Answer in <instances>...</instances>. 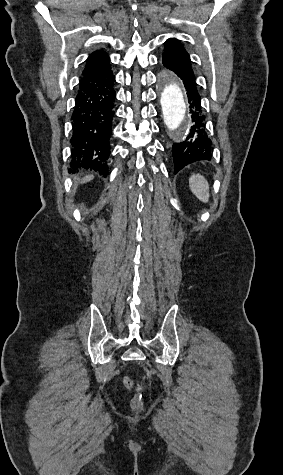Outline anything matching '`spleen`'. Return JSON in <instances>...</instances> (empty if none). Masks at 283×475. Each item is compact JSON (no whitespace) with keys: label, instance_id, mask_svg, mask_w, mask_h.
Returning a JSON list of instances; mask_svg holds the SVG:
<instances>
[{"label":"spleen","instance_id":"3e777b00","mask_svg":"<svg viewBox=\"0 0 283 475\" xmlns=\"http://www.w3.org/2000/svg\"><path fill=\"white\" fill-rule=\"evenodd\" d=\"M189 188L200 202H209V184L201 174H192L189 178Z\"/></svg>","mask_w":283,"mask_h":475}]
</instances>
